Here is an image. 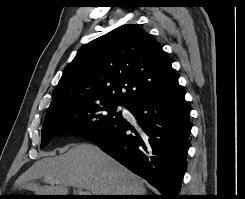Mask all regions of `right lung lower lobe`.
Returning <instances> with one entry per match:
<instances>
[{
  "label": "right lung lower lobe",
  "mask_w": 245,
  "mask_h": 199,
  "mask_svg": "<svg viewBox=\"0 0 245 199\" xmlns=\"http://www.w3.org/2000/svg\"><path fill=\"white\" fill-rule=\"evenodd\" d=\"M125 107L136 127L122 118L89 140L156 187L161 199H179L191 129L179 83Z\"/></svg>",
  "instance_id": "98d812e1"
}]
</instances>
